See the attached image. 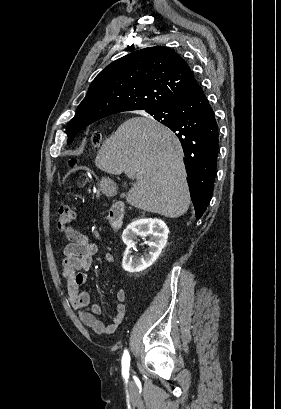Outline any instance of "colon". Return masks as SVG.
I'll return each mask as SVG.
<instances>
[{"label": "colon", "mask_w": 281, "mask_h": 409, "mask_svg": "<svg viewBox=\"0 0 281 409\" xmlns=\"http://www.w3.org/2000/svg\"><path fill=\"white\" fill-rule=\"evenodd\" d=\"M105 141V135L101 131H95L91 138V144L93 147L101 146ZM78 161L76 159H70L68 162L69 168H74ZM76 217L75 209L69 204H59L56 209V222L59 229L63 230L73 224Z\"/></svg>", "instance_id": "5ec220e1"}]
</instances>
